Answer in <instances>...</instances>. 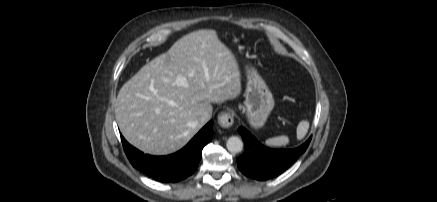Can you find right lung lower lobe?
Listing matches in <instances>:
<instances>
[{"mask_svg": "<svg viewBox=\"0 0 437 202\" xmlns=\"http://www.w3.org/2000/svg\"><path fill=\"white\" fill-rule=\"evenodd\" d=\"M213 121L208 122L180 151L168 156H151L131 146L121 136L124 151L136 169L160 182L175 183L198 168L203 147L212 139Z\"/></svg>", "mask_w": 437, "mask_h": 202, "instance_id": "98d812e1", "label": "right lung lower lobe"}]
</instances>
